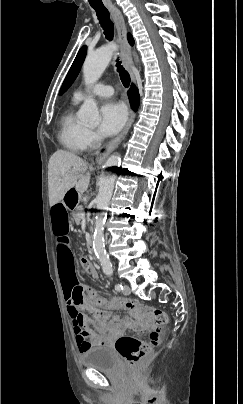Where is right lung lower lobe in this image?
<instances>
[{
  "label": "right lung lower lobe",
  "mask_w": 243,
  "mask_h": 404,
  "mask_svg": "<svg viewBox=\"0 0 243 404\" xmlns=\"http://www.w3.org/2000/svg\"><path fill=\"white\" fill-rule=\"evenodd\" d=\"M128 96L130 99L131 106L136 110L139 106V93L137 89L132 85L130 90L128 91Z\"/></svg>",
  "instance_id": "1"
}]
</instances>
